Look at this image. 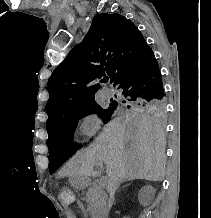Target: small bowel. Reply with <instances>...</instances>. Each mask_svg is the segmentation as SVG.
<instances>
[{"instance_id": "small-bowel-1", "label": "small bowel", "mask_w": 211, "mask_h": 218, "mask_svg": "<svg viewBox=\"0 0 211 218\" xmlns=\"http://www.w3.org/2000/svg\"><path fill=\"white\" fill-rule=\"evenodd\" d=\"M79 207L82 208V205L80 203H78Z\"/></svg>"}]
</instances>
